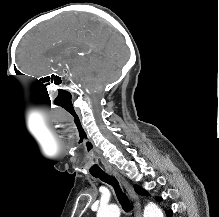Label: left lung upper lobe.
<instances>
[{"label": "left lung upper lobe", "mask_w": 219, "mask_h": 217, "mask_svg": "<svg viewBox=\"0 0 219 217\" xmlns=\"http://www.w3.org/2000/svg\"><path fill=\"white\" fill-rule=\"evenodd\" d=\"M135 191L140 195H144V196L148 195L147 192L139 186H135ZM157 200L161 201V198H157Z\"/></svg>", "instance_id": "1"}]
</instances>
